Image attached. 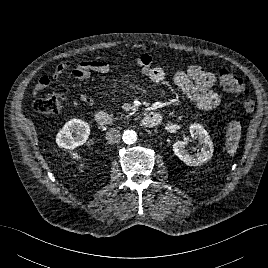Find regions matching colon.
Segmentation results:
<instances>
[{
  "label": "colon",
  "mask_w": 268,
  "mask_h": 268,
  "mask_svg": "<svg viewBox=\"0 0 268 268\" xmlns=\"http://www.w3.org/2000/svg\"><path fill=\"white\" fill-rule=\"evenodd\" d=\"M219 81L225 91L246 96L244 108L247 112H253L255 110V101L249 96L250 91L241 78L228 69H221L219 71ZM64 101L65 97L63 95H48L36 99L33 107L36 112L50 116L60 111Z\"/></svg>",
  "instance_id": "5ec220e1"
}]
</instances>
